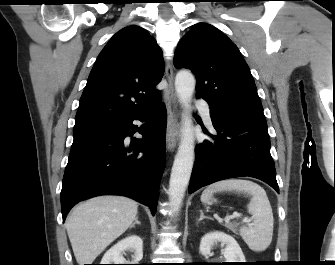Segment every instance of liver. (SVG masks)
Here are the masks:
<instances>
[{
	"mask_svg": "<svg viewBox=\"0 0 335 265\" xmlns=\"http://www.w3.org/2000/svg\"><path fill=\"white\" fill-rule=\"evenodd\" d=\"M137 213V202L122 196H98L74 208L65 227L77 263L92 264L132 225Z\"/></svg>",
	"mask_w": 335,
	"mask_h": 265,
	"instance_id": "1",
	"label": "liver"
}]
</instances>
